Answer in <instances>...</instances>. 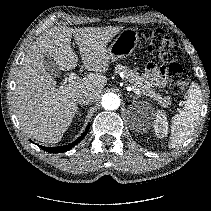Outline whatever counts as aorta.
Here are the masks:
<instances>
[{
  "label": "aorta",
  "mask_w": 211,
  "mask_h": 211,
  "mask_svg": "<svg viewBox=\"0 0 211 211\" xmlns=\"http://www.w3.org/2000/svg\"><path fill=\"white\" fill-rule=\"evenodd\" d=\"M101 104L106 110H115L120 106V98L115 93H106L102 97Z\"/></svg>",
  "instance_id": "1"
}]
</instances>
